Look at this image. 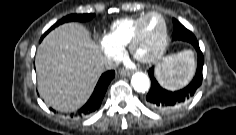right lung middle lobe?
I'll return each instance as SVG.
<instances>
[{
    "instance_id": "1",
    "label": "right lung middle lobe",
    "mask_w": 236,
    "mask_h": 135,
    "mask_svg": "<svg viewBox=\"0 0 236 135\" xmlns=\"http://www.w3.org/2000/svg\"><path fill=\"white\" fill-rule=\"evenodd\" d=\"M94 17V14H71L68 15L61 20H59L57 23H55L45 34H47L50 30L55 28L56 26L69 21H88Z\"/></svg>"
}]
</instances>
